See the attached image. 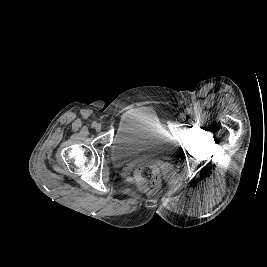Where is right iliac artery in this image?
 Returning <instances> with one entry per match:
<instances>
[{
  "instance_id": "82829eb1",
  "label": "right iliac artery",
  "mask_w": 267,
  "mask_h": 267,
  "mask_svg": "<svg viewBox=\"0 0 267 267\" xmlns=\"http://www.w3.org/2000/svg\"><path fill=\"white\" fill-rule=\"evenodd\" d=\"M97 123L96 122H93L92 123V127H96Z\"/></svg>"
}]
</instances>
